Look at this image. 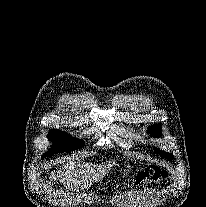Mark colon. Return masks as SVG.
Returning <instances> with one entry per match:
<instances>
[{"label": "colon", "instance_id": "1", "mask_svg": "<svg viewBox=\"0 0 206 207\" xmlns=\"http://www.w3.org/2000/svg\"><path fill=\"white\" fill-rule=\"evenodd\" d=\"M166 171L161 167H148L136 176V185L160 184L166 179Z\"/></svg>", "mask_w": 206, "mask_h": 207}]
</instances>
